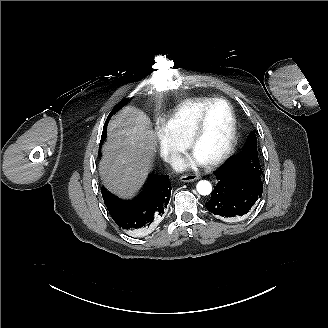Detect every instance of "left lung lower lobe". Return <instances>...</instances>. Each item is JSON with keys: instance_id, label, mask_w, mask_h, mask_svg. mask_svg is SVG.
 Returning a JSON list of instances; mask_svg holds the SVG:
<instances>
[{"instance_id": "0a47b994", "label": "left lung lower lobe", "mask_w": 328, "mask_h": 328, "mask_svg": "<svg viewBox=\"0 0 328 328\" xmlns=\"http://www.w3.org/2000/svg\"><path fill=\"white\" fill-rule=\"evenodd\" d=\"M255 170L230 160L216 170L214 175L218 183L205 204L207 210L221 220L249 213L263 191L261 176Z\"/></svg>"}]
</instances>
